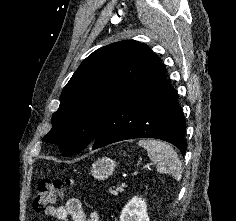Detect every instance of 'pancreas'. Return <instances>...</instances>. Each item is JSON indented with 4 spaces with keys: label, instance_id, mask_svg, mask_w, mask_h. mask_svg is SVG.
Segmentation results:
<instances>
[{
    "label": "pancreas",
    "instance_id": "obj_1",
    "mask_svg": "<svg viewBox=\"0 0 236 221\" xmlns=\"http://www.w3.org/2000/svg\"><path fill=\"white\" fill-rule=\"evenodd\" d=\"M123 191V187L120 186V187H117L115 189H109L108 190V193L112 194V195H117L118 192H122Z\"/></svg>",
    "mask_w": 236,
    "mask_h": 221
}]
</instances>
